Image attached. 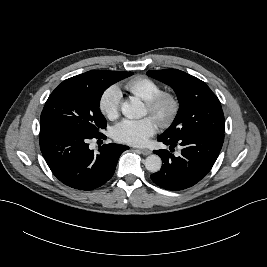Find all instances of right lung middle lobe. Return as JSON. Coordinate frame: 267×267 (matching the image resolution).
<instances>
[{
  "label": "right lung middle lobe",
  "instance_id": "obj_1",
  "mask_svg": "<svg viewBox=\"0 0 267 267\" xmlns=\"http://www.w3.org/2000/svg\"><path fill=\"white\" fill-rule=\"evenodd\" d=\"M133 72L105 71L87 80L63 81L49 96L40 122L49 121L88 136H99L107 122L99 109L103 92Z\"/></svg>",
  "mask_w": 267,
  "mask_h": 267
}]
</instances>
